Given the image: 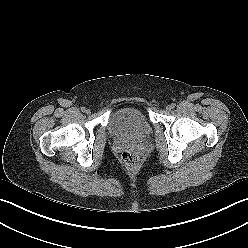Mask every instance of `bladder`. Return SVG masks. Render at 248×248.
I'll use <instances>...</instances> for the list:
<instances>
[{
  "mask_svg": "<svg viewBox=\"0 0 248 248\" xmlns=\"http://www.w3.org/2000/svg\"><path fill=\"white\" fill-rule=\"evenodd\" d=\"M108 127L111 134L118 137H142L151 130L147 117L135 108H124L116 111L111 116Z\"/></svg>",
  "mask_w": 248,
  "mask_h": 248,
  "instance_id": "obj_1",
  "label": "bladder"
}]
</instances>
